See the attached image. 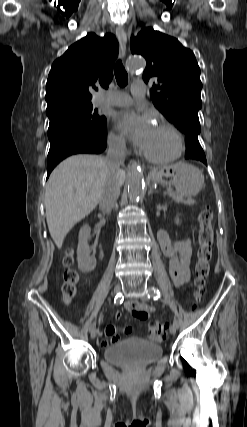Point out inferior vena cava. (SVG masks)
Wrapping results in <instances>:
<instances>
[{"instance_id": "inferior-vena-cava-1", "label": "inferior vena cava", "mask_w": 247, "mask_h": 427, "mask_svg": "<svg viewBox=\"0 0 247 427\" xmlns=\"http://www.w3.org/2000/svg\"><path fill=\"white\" fill-rule=\"evenodd\" d=\"M108 147L106 156L108 177L99 200L100 208L106 213L111 212L120 195V184L115 175L124 164V160L126 158V145L124 140H109Z\"/></svg>"}]
</instances>
